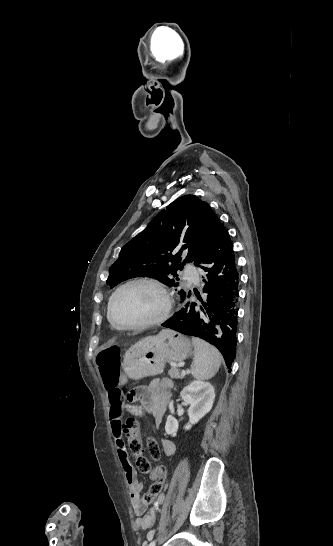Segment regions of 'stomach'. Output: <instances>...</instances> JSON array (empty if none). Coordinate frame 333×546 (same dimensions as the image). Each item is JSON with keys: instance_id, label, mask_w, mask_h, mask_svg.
I'll return each instance as SVG.
<instances>
[{"instance_id": "obj_1", "label": "stomach", "mask_w": 333, "mask_h": 546, "mask_svg": "<svg viewBox=\"0 0 333 546\" xmlns=\"http://www.w3.org/2000/svg\"><path fill=\"white\" fill-rule=\"evenodd\" d=\"M192 352V343L184 335L166 329L147 336L131 346L125 353L121 366L128 377L140 380L160 374L166 362L185 360Z\"/></svg>"}]
</instances>
